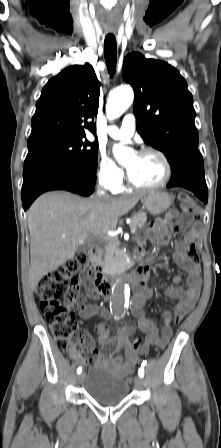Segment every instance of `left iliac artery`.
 <instances>
[{"mask_svg": "<svg viewBox=\"0 0 221 448\" xmlns=\"http://www.w3.org/2000/svg\"><path fill=\"white\" fill-rule=\"evenodd\" d=\"M144 366H146V363H145V362H143V363L141 364V368L138 370V375H139L141 378L144 377V370H143Z\"/></svg>", "mask_w": 221, "mask_h": 448, "instance_id": "left-iliac-artery-1", "label": "left iliac artery"}]
</instances>
